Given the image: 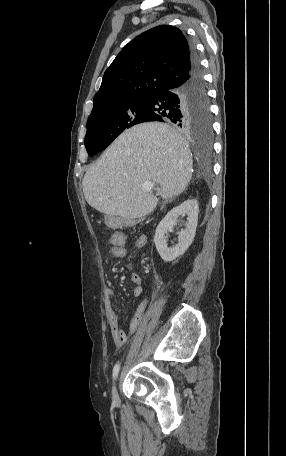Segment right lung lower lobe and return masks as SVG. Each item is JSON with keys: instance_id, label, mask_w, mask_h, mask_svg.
Segmentation results:
<instances>
[{"instance_id": "obj_1", "label": "right lung lower lobe", "mask_w": 286, "mask_h": 456, "mask_svg": "<svg viewBox=\"0 0 286 456\" xmlns=\"http://www.w3.org/2000/svg\"><path fill=\"white\" fill-rule=\"evenodd\" d=\"M145 102L150 111L145 122H168L187 129L206 121L210 116L208 95L200 61L192 46L186 81L145 98Z\"/></svg>"}]
</instances>
